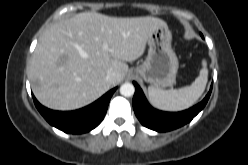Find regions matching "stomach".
Segmentation results:
<instances>
[{
	"label": "stomach",
	"mask_w": 248,
	"mask_h": 165,
	"mask_svg": "<svg viewBox=\"0 0 248 165\" xmlns=\"http://www.w3.org/2000/svg\"><path fill=\"white\" fill-rule=\"evenodd\" d=\"M171 40L172 34L167 26L152 32L148 38V55L135 69L137 75L158 89L170 87L176 82L178 59Z\"/></svg>",
	"instance_id": "0dacf381"
}]
</instances>
